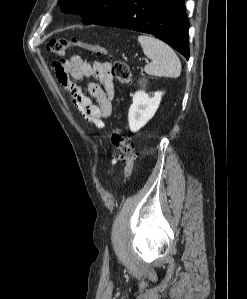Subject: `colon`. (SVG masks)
<instances>
[{
    "instance_id": "5ec220e1",
    "label": "colon",
    "mask_w": 247,
    "mask_h": 299,
    "mask_svg": "<svg viewBox=\"0 0 247 299\" xmlns=\"http://www.w3.org/2000/svg\"><path fill=\"white\" fill-rule=\"evenodd\" d=\"M70 47L83 48L97 56L108 54L107 50L101 45L66 38H52L46 44L47 50L56 55H64ZM110 75L123 85L131 83V70L125 61L115 60L110 68ZM111 142L119 151V157L124 164V179L126 181L130 178L135 167L136 154L134 147L124 130L118 126L111 131Z\"/></svg>"
}]
</instances>
